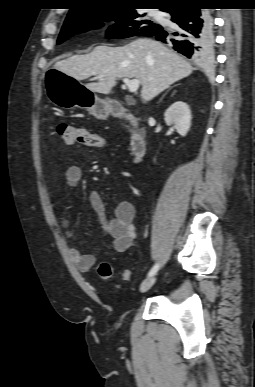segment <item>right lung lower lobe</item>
<instances>
[{"mask_svg": "<svg viewBox=\"0 0 255 387\" xmlns=\"http://www.w3.org/2000/svg\"><path fill=\"white\" fill-rule=\"evenodd\" d=\"M198 0L180 2L163 10L172 16L173 27H148L141 35L155 36L179 53L198 63H207L213 55V20Z\"/></svg>", "mask_w": 255, "mask_h": 387, "instance_id": "right-lung-lower-lobe-1", "label": "right lung lower lobe"}]
</instances>
